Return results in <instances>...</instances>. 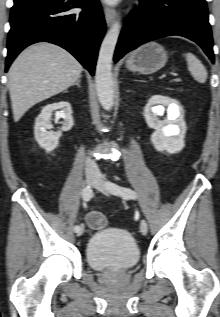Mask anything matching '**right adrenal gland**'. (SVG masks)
I'll return each instance as SVG.
<instances>
[{
    "label": "right adrenal gland",
    "mask_w": 220,
    "mask_h": 317,
    "mask_svg": "<svg viewBox=\"0 0 220 317\" xmlns=\"http://www.w3.org/2000/svg\"><path fill=\"white\" fill-rule=\"evenodd\" d=\"M81 77H82V76H80L79 79H77V81H76L73 85H77V87L80 88V87H81V86H80Z\"/></svg>",
    "instance_id": "obj_1"
}]
</instances>
